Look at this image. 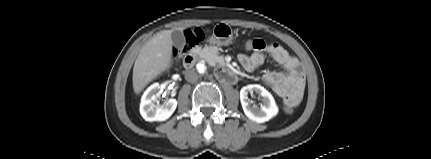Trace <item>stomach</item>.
Listing matches in <instances>:
<instances>
[{
  "instance_id": "1",
  "label": "stomach",
  "mask_w": 431,
  "mask_h": 159,
  "mask_svg": "<svg viewBox=\"0 0 431 159\" xmlns=\"http://www.w3.org/2000/svg\"><path fill=\"white\" fill-rule=\"evenodd\" d=\"M207 41L217 45H229L233 41L232 28L227 24H217Z\"/></svg>"
}]
</instances>
